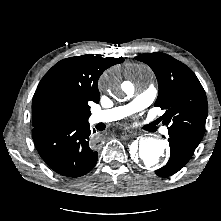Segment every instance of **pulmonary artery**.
I'll use <instances>...</instances> for the list:
<instances>
[{
    "mask_svg": "<svg viewBox=\"0 0 221 221\" xmlns=\"http://www.w3.org/2000/svg\"><path fill=\"white\" fill-rule=\"evenodd\" d=\"M156 95L157 89L154 86H149L148 88L140 92L133 101L126 105L93 112L91 115V122L94 124L108 123L128 117L151 105ZM162 132L166 134L168 132V128L163 127Z\"/></svg>",
    "mask_w": 221,
    "mask_h": 221,
    "instance_id": "1",
    "label": "pulmonary artery"
}]
</instances>
